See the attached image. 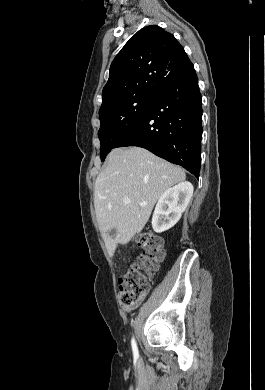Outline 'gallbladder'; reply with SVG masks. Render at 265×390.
Masks as SVG:
<instances>
[{
  "label": "gallbladder",
  "instance_id": "bac80fb5",
  "mask_svg": "<svg viewBox=\"0 0 265 390\" xmlns=\"http://www.w3.org/2000/svg\"><path fill=\"white\" fill-rule=\"evenodd\" d=\"M115 233H116V230H115V229H112V230H110L109 235H110V236H113Z\"/></svg>",
  "mask_w": 265,
  "mask_h": 390
}]
</instances>
